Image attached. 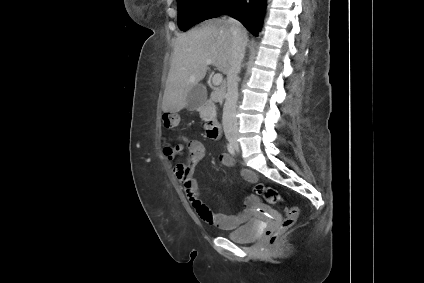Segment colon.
Wrapping results in <instances>:
<instances>
[{"label": "colon", "mask_w": 424, "mask_h": 283, "mask_svg": "<svg viewBox=\"0 0 424 283\" xmlns=\"http://www.w3.org/2000/svg\"><path fill=\"white\" fill-rule=\"evenodd\" d=\"M162 122L166 129H174L179 125L180 117L175 113H164L162 115ZM180 146L174 143H167L164 146V154L173 159L180 153ZM257 193L264 195L267 201L270 203H278L283 201L278 192L271 187L258 185L256 188ZM284 219L277 228L268 229L266 231V237L270 244H273L279 237V235L285 230L292 227L298 218V208L295 206H286L284 209Z\"/></svg>", "instance_id": "colon-1"}]
</instances>
